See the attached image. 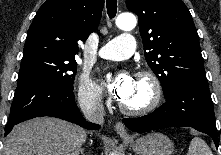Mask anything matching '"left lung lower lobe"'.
<instances>
[{"label":"left lung lower lobe","mask_w":221,"mask_h":155,"mask_svg":"<svg viewBox=\"0 0 221 155\" xmlns=\"http://www.w3.org/2000/svg\"><path fill=\"white\" fill-rule=\"evenodd\" d=\"M154 112L138 118H125L124 124L136 133L189 126L212 137L218 147L214 110L206 77L178 84Z\"/></svg>","instance_id":"1"}]
</instances>
